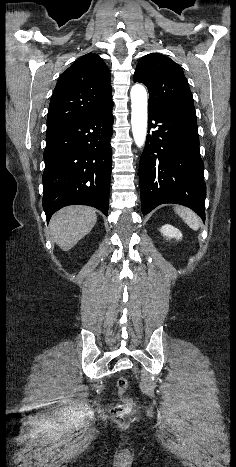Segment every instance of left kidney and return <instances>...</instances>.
Segmentation results:
<instances>
[{
	"instance_id": "1",
	"label": "left kidney",
	"mask_w": 236,
	"mask_h": 467,
	"mask_svg": "<svg viewBox=\"0 0 236 467\" xmlns=\"http://www.w3.org/2000/svg\"><path fill=\"white\" fill-rule=\"evenodd\" d=\"M161 233H163V235L169 239L171 238H176L177 240L182 239V233L177 228L169 224L162 226Z\"/></svg>"
}]
</instances>
